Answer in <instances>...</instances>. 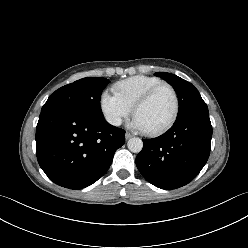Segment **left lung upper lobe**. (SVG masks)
<instances>
[{
	"label": "left lung upper lobe",
	"mask_w": 248,
	"mask_h": 248,
	"mask_svg": "<svg viewBox=\"0 0 248 248\" xmlns=\"http://www.w3.org/2000/svg\"><path fill=\"white\" fill-rule=\"evenodd\" d=\"M155 75L169 82L177 93L179 110L176 120H180L196 110L207 107L193 84L171 73L158 72Z\"/></svg>",
	"instance_id": "obj_1"
}]
</instances>
